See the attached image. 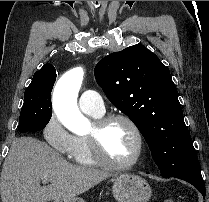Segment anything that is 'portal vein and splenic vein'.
Here are the masks:
<instances>
[{"label":"portal vein and splenic vein","mask_w":209,"mask_h":202,"mask_svg":"<svg viewBox=\"0 0 209 202\" xmlns=\"http://www.w3.org/2000/svg\"><path fill=\"white\" fill-rule=\"evenodd\" d=\"M42 180H43V182H45V183L51 181L49 178H43Z\"/></svg>","instance_id":"portal-vein-and-splenic-vein-1"}]
</instances>
